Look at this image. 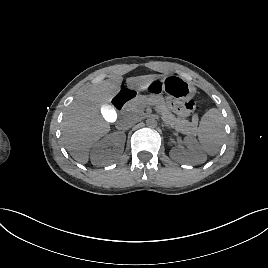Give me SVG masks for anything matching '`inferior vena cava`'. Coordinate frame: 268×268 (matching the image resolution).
<instances>
[{"mask_svg": "<svg viewBox=\"0 0 268 268\" xmlns=\"http://www.w3.org/2000/svg\"><path fill=\"white\" fill-rule=\"evenodd\" d=\"M136 123V118L133 115H127L120 120L118 128L121 130H128Z\"/></svg>", "mask_w": 268, "mask_h": 268, "instance_id": "obj_1", "label": "inferior vena cava"}]
</instances>
